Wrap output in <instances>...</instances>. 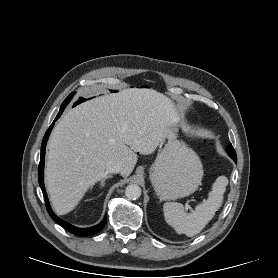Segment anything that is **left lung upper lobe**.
Here are the masks:
<instances>
[{
	"label": "left lung upper lobe",
	"instance_id": "obj_1",
	"mask_svg": "<svg viewBox=\"0 0 278 278\" xmlns=\"http://www.w3.org/2000/svg\"><path fill=\"white\" fill-rule=\"evenodd\" d=\"M227 153L228 155L232 158V159H236L237 156H236V152L232 146V144L230 143L228 146H227Z\"/></svg>",
	"mask_w": 278,
	"mask_h": 278
}]
</instances>
